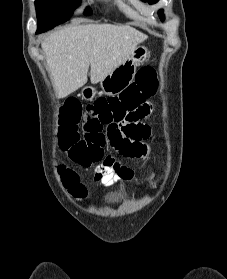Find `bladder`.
Segmentation results:
<instances>
[{"instance_id":"bladder-1","label":"bladder","mask_w":227,"mask_h":279,"mask_svg":"<svg viewBox=\"0 0 227 279\" xmlns=\"http://www.w3.org/2000/svg\"><path fill=\"white\" fill-rule=\"evenodd\" d=\"M128 200H130L129 193L116 191L104 196L101 201V206H103L104 208H112L117 204Z\"/></svg>"}]
</instances>
